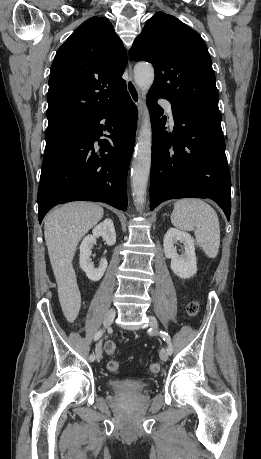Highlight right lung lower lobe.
<instances>
[{"instance_id":"98d812e1","label":"right lung lower lobe","mask_w":261,"mask_h":459,"mask_svg":"<svg viewBox=\"0 0 261 459\" xmlns=\"http://www.w3.org/2000/svg\"><path fill=\"white\" fill-rule=\"evenodd\" d=\"M137 108L128 92L89 119L84 128L45 152L38 188L41 223L55 205L86 200L127 208V171L137 126ZM110 136L99 140L106 126ZM99 140L100 149L94 148Z\"/></svg>"}]
</instances>
